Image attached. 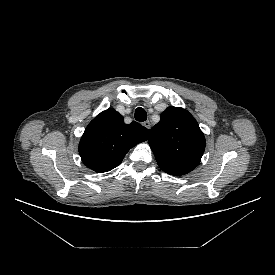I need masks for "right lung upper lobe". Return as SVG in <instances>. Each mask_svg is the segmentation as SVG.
Segmentation results:
<instances>
[{
    "label": "right lung upper lobe",
    "instance_id": "obj_1",
    "mask_svg": "<svg viewBox=\"0 0 275 275\" xmlns=\"http://www.w3.org/2000/svg\"><path fill=\"white\" fill-rule=\"evenodd\" d=\"M149 133V129L137 122L125 124L122 115L109 108L86 127L79 153L88 168L108 172L122 162L129 149L146 141Z\"/></svg>",
    "mask_w": 275,
    "mask_h": 275
}]
</instances>
